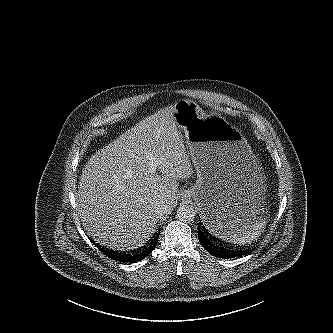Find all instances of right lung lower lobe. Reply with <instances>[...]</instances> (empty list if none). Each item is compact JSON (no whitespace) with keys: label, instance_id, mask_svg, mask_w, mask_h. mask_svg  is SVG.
Listing matches in <instances>:
<instances>
[{"label":"right lung lower lobe","instance_id":"98d812e1","mask_svg":"<svg viewBox=\"0 0 333 333\" xmlns=\"http://www.w3.org/2000/svg\"><path fill=\"white\" fill-rule=\"evenodd\" d=\"M159 232L154 234L153 238L150 240L147 246H144V249L136 253L134 255H123L121 253H116L115 251L108 250L107 248L101 247V245L97 246L105 255L110 257L111 259L122 261V262H134L139 261L148 256L153 249L156 247L158 242ZM97 244V243H96ZM143 248V247H142Z\"/></svg>","mask_w":333,"mask_h":333}]
</instances>
